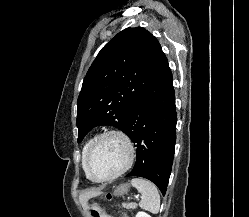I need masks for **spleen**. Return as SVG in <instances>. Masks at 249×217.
<instances>
[{"label":"spleen","instance_id":"1","mask_svg":"<svg viewBox=\"0 0 249 217\" xmlns=\"http://www.w3.org/2000/svg\"><path fill=\"white\" fill-rule=\"evenodd\" d=\"M131 184L142 194L139 206L157 214L160 208V195L155 184L143 178H133Z\"/></svg>","mask_w":249,"mask_h":217}]
</instances>
